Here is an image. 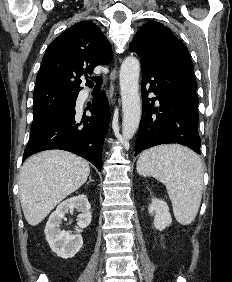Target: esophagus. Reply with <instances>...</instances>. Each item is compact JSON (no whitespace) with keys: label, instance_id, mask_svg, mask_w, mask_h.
<instances>
[{"label":"esophagus","instance_id":"esophagus-1","mask_svg":"<svg viewBox=\"0 0 232 282\" xmlns=\"http://www.w3.org/2000/svg\"><path fill=\"white\" fill-rule=\"evenodd\" d=\"M117 69L116 67H113L111 74H110V93L111 95L114 94L115 91V86H114V82L117 80Z\"/></svg>","mask_w":232,"mask_h":282}]
</instances>
